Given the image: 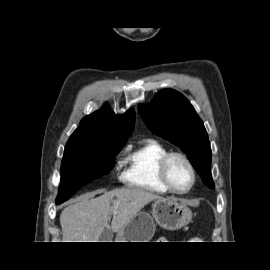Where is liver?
I'll list each match as a JSON object with an SVG mask.
<instances>
[{"label": "liver", "mask_w": 270, "mask_h": 270, "mask_svg": "<svg viewBox=\"0 0 270 270\" xmlns=\"http://www.w3.org/2000/svg\"><path fill=\"white\" fill-rule=\"evenodd\" d=\"M103 195L94 198L96 194ZM162 198L138 188L94 191L66 207L60 215L63 242H99L105 228L113 232L123 229L134 216L153 200ZM113 215L111 226L108 221Z\"/></svg>", "instance_id": "1"}]
</instances>
